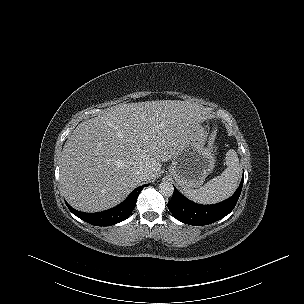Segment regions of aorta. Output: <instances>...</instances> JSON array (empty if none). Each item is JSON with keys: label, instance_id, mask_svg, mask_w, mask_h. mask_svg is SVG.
Here are the masks:
<instances>
[{"label": "aorta", "instance_id": "1", "mask_svg": "<svg viewBox=\"0 0 304 304\" xmlns=\"http://www.w3.org/2000/svg\"><path fill=\"white\" fill-rule=\"evenodd\" d=\"M159 192L161 195L165 197H171L174 192V187L172 183L168 181H163L162 183L159 184Z\"/></svg>", "mask_w": 304, "mask_h": 304}]
</instances>
